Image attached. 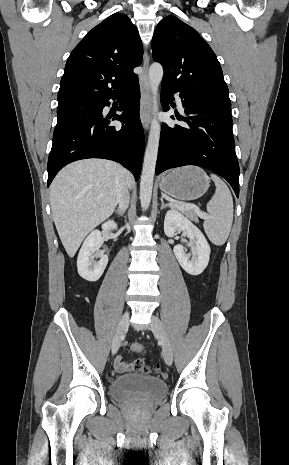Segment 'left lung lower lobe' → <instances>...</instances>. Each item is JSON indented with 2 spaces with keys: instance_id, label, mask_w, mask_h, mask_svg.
Wrapping results in <instances>:
<instances>
[{
  "instance_id": "obj_1",
  "label": "left lung lower lobe",
  "mask_w": 289,
  "mask_h": 465,
  "mask_svg": "<svg viewBox=\"0 0 289 465\" xmlns=\"http://www.w3.org/2000/svg\"><path fill=\"white\" fill-rule=\"evenodd\" d=\"M180 92L188 127L162 124L156 173L184 165L207 168L225 178L239 197V164L235 154L230 107L162 85L164 111ZM173 118V116L171 117Z\"/></svg>"
}]
</instances>
